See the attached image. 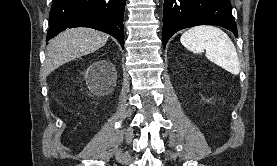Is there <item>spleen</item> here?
<instances>
[{"instance_id": "spleen-1", "label": "spleen", "mask_w": 277, "mask_h": 166, "mask_svg": "<svg viewBox=\"0 0 277 166\" xmlns=\"http://www.w3.org/2000/svg\"><path fill=\"white\" fill-rule=\"evenodd\" d=\"M180 41L194 53L200 54L205 50V56L211 62L234 75L239 74L240 63L236 48L221 29L210 25L193 27L182 34Z\"/></svg>"}]
</instances>
